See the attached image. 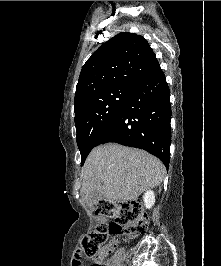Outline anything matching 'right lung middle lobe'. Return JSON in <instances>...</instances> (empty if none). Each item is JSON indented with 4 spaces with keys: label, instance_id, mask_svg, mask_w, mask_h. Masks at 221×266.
<instances>
[{
    "label": "right lung middle lobe",
    "instance_id": "1",
    "mask_svg": "<svg viewBox=\"0 0 221 266\" xmlns=\"http://www.w3.org/2000/svg\"><path fill=\"white\" fill-rule=\"evenodd\" d=\"M134 87L115 86L83 98L75 109L77 144L81 166L102 132L118 116Z\"/></svg>",
    "mask_w": 221,
    "mask_h": 266
}]
</instances>
